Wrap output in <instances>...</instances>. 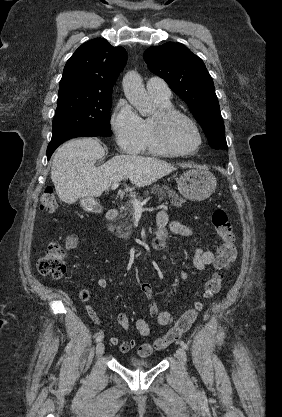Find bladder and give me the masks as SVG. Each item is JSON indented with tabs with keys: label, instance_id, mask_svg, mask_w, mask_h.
Masks as SVG:
<instances>
[{
	"label": "bladder",
	"instance_id": "31cf9c89",
	"mask_svg": "<svg viewBox=\"0 0 282 417\" xmlns=\"http://www.w3.org/2000/svg\"><path fill=\"white\" fill-rule=\"evenodd\" d=\"M128 364L132 368H136V369L147 368L150 365L148 361L140 359V358H136V357L129 358Z\"/></svg>",
	"mask_w": 282,
	"mask_h": 417
}]
</instances>
